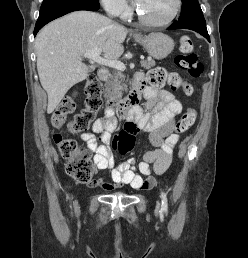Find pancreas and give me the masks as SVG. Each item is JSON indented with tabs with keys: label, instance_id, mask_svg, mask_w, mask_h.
Returning <instances> with one entry per match:
<instances>
[{
	"label": "pancreas",
	"instance_id": "1",
	"mask_svg": "<svg viewBox=\"0 0 248 258\" xmlns=\"http://www.w3.org/2000/svg\"><path fill=\"white\" fill-rule=\"evenodd\" d=\"M141 66L149 69L155 66V61L153 59L143 60L141 61ZM124 78L125 75L120 70H114L112 74L109 75L108 79L105 81L106 96L109 100L113 101L121 94V90L125 87L122 83Z\"/></svg>",
	"mask_w": 248,
	"mask_h": 258
}]
</instances>
